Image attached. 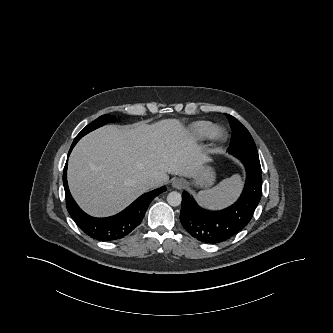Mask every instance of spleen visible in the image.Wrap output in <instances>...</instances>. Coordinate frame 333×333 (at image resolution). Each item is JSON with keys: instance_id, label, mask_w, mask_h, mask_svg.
<instances>
[{"instance_id": "3e777b00", "label": "spleen", "mask_w": 333, "mask_h": 333, "mask_svg": "<svg viewBox=\"0 0 333 333\" xmlns=\"http://www.w3.org/2000/svg\"><path fill=\"white\" fill-rule=\"evenodd\" d=\"M241 185V177L233 175L212 189L200 191L197 194V200L200 205L207 208H223L231 204L238 196Z\"/></svg>"}]
</instances>
